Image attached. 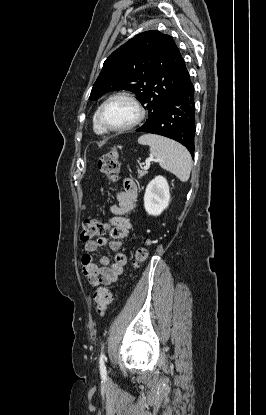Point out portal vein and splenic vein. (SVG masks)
<instances>
[{"label":"portal vein and splenic vein","instance_id":"18ae733b","mask_svg":"<svg viewBox=\"0 0 266 415\" xmlns=\"http://www.w3.org/2000/svg\"><path fill=\"white\" fill-rule=\"evenodd\" d=\"M150 161H153V157H150L147 162L146 165L143 167L144 170H148L150 167Z\"/></svg>","mask_w":266,"mask_h":415}]
</instances>
